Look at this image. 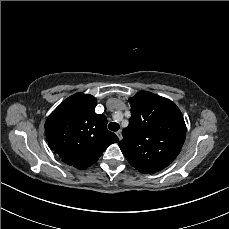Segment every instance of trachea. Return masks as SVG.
Masks as SVG:
<instances>
[{
  "label": "trachea",
  "instance_id": "trachea-1",
  "mask_svg": "<svg viewBox=\"0 0 229 229\" xmlns=\"http://www.w3.org/2000/svg\"><path fill=\"white\" fill-rule=\"evenodd\" d=\"M108 128H109V130L116 132V131H118L120 126L118 123L112 122V123L108 124Z\"/></svg>",
  "mask_w": 229,
  "mask_h": 229
}]
</instances>
